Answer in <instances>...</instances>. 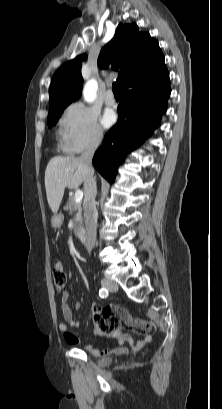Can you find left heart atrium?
<instances>
[{"mask_svg":"<svg viewBox=\"0 0 222 409\" xmlns=\"http://www.w3.org/2000/svg\"><path fill=\"white\" fill-rule=\"evenodd\" d=\"M116 120L115 113L112 111H107L104 113L102 117V124L104 127H110L111 125L114 124Z\"/></svg>","mask_w":222,"mask_h":409,"instance_id":"obj_1","label":"left heart atrium"}]
</instances>
